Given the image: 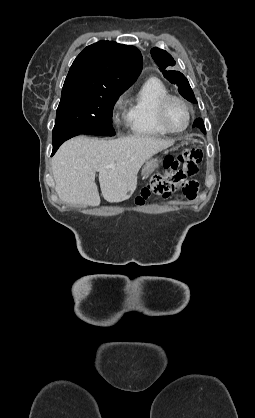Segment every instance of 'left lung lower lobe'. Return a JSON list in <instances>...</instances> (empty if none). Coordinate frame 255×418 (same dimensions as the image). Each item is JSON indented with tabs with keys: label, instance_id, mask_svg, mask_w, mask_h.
<instances>
[{
	"label": "left lung lower lobe",
	"instance_id": "0a47b994",
	"mask_svg": "<svg viewBox=\"0 0 255 418\" xmlns=\"http://www.w3.org/2000/svg\"><path fill=\"white\" fill-rule=\"evenodd\" d=\"M193 127H198L201 130H204V133H206L205 126H204V122H203L202 119H196L195 122H194V124H193Z\"/></svg>",
	"mask_w": 255,
	"mask_h": 418
}]
</instances>
